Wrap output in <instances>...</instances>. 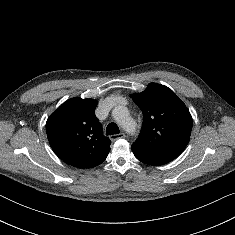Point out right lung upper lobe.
<instances>
[{"label":"right lung upper lobe","mask_w":235,"mask_h":235,"mask_svg":"<svg viewBox=\"0 0 235 235\" xmlns=\"http://www.w3.org/2000/svg\"><path fill=\"white\" fill-rule=\"evenodd\" d=\"M97 101L72 98L64 102L46 122V132L54 153L78 168L100 165L110 151L111 141L103 135L95 116Z\"/></svg>","instance_id":"right-lung-upper-lobe-1"}]
</instances>
